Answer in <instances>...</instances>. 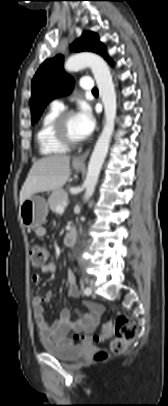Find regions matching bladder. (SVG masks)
Segmentation results:
<instances>
[{"label": "bladder", "instance_id": "31cf9c89", "mask_svg": "<svg viewBox=\"0 0 168 406\" xmlns=\"http://www.w3.org/2000/svg\"><path fill=\"white\" fill-rule=\"evenodd\" d=\"M43 348L46 350L47 353L54 356L55 358L65 361V362H72L78 359L82 353L83 349L80 346L73 345V344H50L48 342H42Z\"/></svg>", "mask_w": 168, "mask_h": 406}]
</instances>
